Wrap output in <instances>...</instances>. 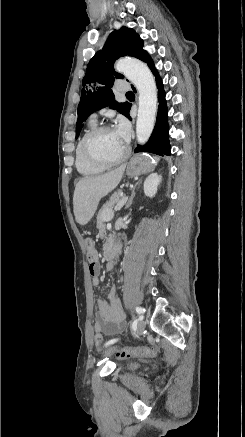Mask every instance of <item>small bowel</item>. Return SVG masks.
Returning a JSON list of instances; mask_svg holds the SVG:
<instances>
[{
  "instance_id": "c3829d8e",
  "label": "small bowel",
  "mask_w": 245,
  "mask_h": 437,
  "mask_svg": "<svg viewBox=\"0 0 245 437\" xmlns=\"http://www.w3.org/2000/svg\"><path fill=\"white\" fill-rule=\"evenodd\" d=\"M92 282L98 285L100 282V266L96 262L93 271L90 270ZM95 330L106 335L119 334L124 329V314L120 302L115 294V287L109 291V302L99 299L96 303Z\"/></svg>"
}]
</instances>
